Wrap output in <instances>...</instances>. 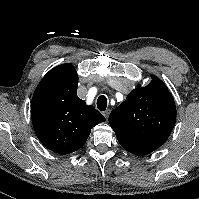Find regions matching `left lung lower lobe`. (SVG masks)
<instances>
[{
	"label": "left lung lower lobe",
	"instance_id": "obj_1",
	"mask_svg": "<svg viewBox=\"0 0 199 199\" xmlns=\"http://www.w3.org/2000/svg\"><path fill=\"white\" fill-rule=\"evenodd\" d=\"M114 132L120 145L128 152L137 156L149 154L161 146L156 142L137 138L122 131Z\"/></svg>",
	"mask_w": 199,
	"mask_h": 199
}]
</instances>
